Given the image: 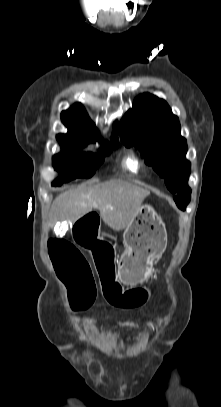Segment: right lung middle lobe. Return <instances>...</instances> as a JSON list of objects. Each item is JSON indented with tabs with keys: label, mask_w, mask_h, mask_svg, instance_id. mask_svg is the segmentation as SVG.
<instances>
[{
	"label": "right lung middle lobe",
	"mask_w": 221,
	"mask_h": 407,
	"mask_svg": "<svg viewBox=\"0 0 221 407\" xmlns=\"http://www.w3.org/2000/svg\"><path fill=\"white\" fill-rule=\"evenodd\" d=\"M62 147V152L53 157L54 169L61 172V176L55 179L52 183L54 186H60L64 182L71 181L76 178L91 177L96 168L103 162L104 156L110 153V148H114L117 144H107V149H101L97 155L91 156L89 160H85L87 154H79L82 147L87 144L62 142L59 141Z\"/></svg>",
	"instance_id": "dd1d6c3e"
}]
</instances>
